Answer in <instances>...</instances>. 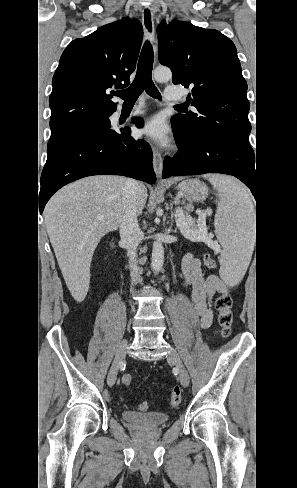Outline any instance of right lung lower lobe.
Instances as JSON below:
<instances>
[{
    "label": "right lung lower lobe",
    "mask_w": 297,
    "mask_h": 488,
    "mask_svg": "<svg viewBox=\"0 0 297 488\" xmlns=\"http://www.w3.org/2000/svg\"><path fill=\"white\" fill-rule=\"evenodd\" d=\"M133 122L142 126L141 118ZM131 129L110 127L75 134L48 152L39 180V211L64 185L91 175H124L149 184L156 182L152 151L145 140L130 136Z\"/></svg>",
    "instance_id": "1"
}]
</instances>
